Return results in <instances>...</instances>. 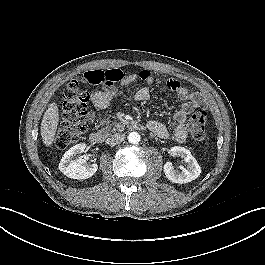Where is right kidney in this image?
Masks as SVG:
<instances>
[{"mask_svg":"<svg viewBox=\"0 0 265 265\" xmlns=\"http://www.w3.org/2000/svg\"><path fill=\"white\" fill-rule=\"evenodd\" d=\"M86 151L87 145L85 143H80L71 147L65 152L59 163L60 171L72 179H88L93 176L98 170L97 164L88 165L83 157L74 159V156Z\"/></svg>","mask_w":265,"mask_h":265,"instance_id":"1","label":"right kidney"}]
</instances>
